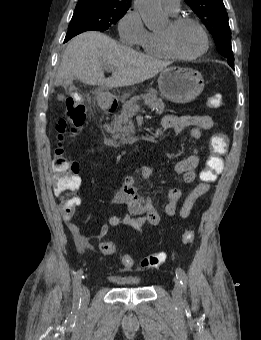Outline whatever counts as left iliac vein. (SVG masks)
Instances as JSON below:
<instances>
[{
	"mask_svg": "<svg viewBox=\"0 0 261 340\" xmlns=\"http://www.w3.org/2000/svg\"><path fill=\"white\" fill-rule=\"evenodd\" d=\"M172 297L175 301H179L182 297V285L178 279L174 280V288L172 290Z\"/></svg>",
	"mask_w": 261,
	"mask_h": 340,
	"instance_id": "1",
	"label": "left iliac vein"
}]
</instances>
